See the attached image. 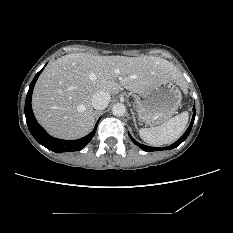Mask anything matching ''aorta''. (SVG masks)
<instances>
[{"label":"aorta","instance_id":"obj_1","mask_svg":"<svg viewBox=\"0 0 233 233\" xmlns=\"http://www.w3.org/2000/svg\"><path fill=\"white\" fill-rule=\"evenodd\" d=\"M126 107L122 103H117L112 108V113L115 116H123L125 114Z\"/></svg>","mask_w":233,"mask_h":233}]
</instances>
